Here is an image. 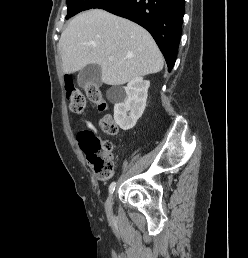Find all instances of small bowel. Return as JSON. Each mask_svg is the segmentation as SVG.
Returning <instances> with one entry per match:
<instances>
[{
    "label": "small bowel",
    "instance_id": "obj_1",
    "mask_svg": "<svg viewBox=\"0 0 248 258\" xmlns=\"http://www.w3.org/2000/svg\"><path fill=\"white\" fill-rule=\"evenodd\" d=\"M86 126L88 127V129H90V130H92V131H95V128H94V126H93L92 123L87 122V123H86Z\"/></svg>",
    "mask_w": 248,
    "mask_h": 258
}]
</instances>
